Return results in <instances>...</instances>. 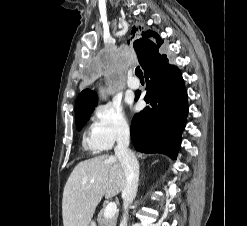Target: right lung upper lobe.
Here are the masks:
<instances>
[{"instance_id":"right-lung-upper-lobe-1","label":"right lung upper lobe","mask_w":247,"mask_h":226,"mask_svg":"<svg viewBox=\"0 0 247 226\" xmlns=\"http://www.w3.org/2000/svg\"><path fill=\"white\" fill-rule=\"evenodd\" d=\"M130 39H136L134 41V48L143 69L147 52L154 48H161L163 44V40L155 31L144 30V27L140 25L133 26ZM94 100H96V96L93 91L90 89L83 90L78 95L75 103V118L84 114Z\"/></svg>"}]
</instances>
